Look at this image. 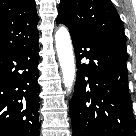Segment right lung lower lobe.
I'll list each match as a JSON object with an SVG mask.
<instances>
[{"label":"right lung lower lobe","instance_id":"98d812e1","mask_svg":"<svg viewBox=\"0 0 136 136\" xmlns=\"http://www.w3.org/2000/svg\"><path fill=\"white\" fill-rule=\"evenodd\" d=\"M37 40L0 54V136H39Z\"/></svg>","mask_w":136,"mask_h":136}]
</instances>
